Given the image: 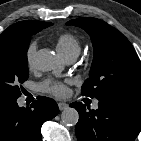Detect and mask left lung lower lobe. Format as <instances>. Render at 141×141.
Returning a JSON list of instances; mask_svg holds the SVG:
<instances>
[{
	"label": "left lung lower lobe",
	"mask_w": 141,
	"mask_h": 141,
	"mask_svg": "<svg viewBox=\"0 0 141 141\" xmlns=\"http://www.w3.org/2000/svg\"><path fill=\"white\" fill-rule=\"evenodd\" d=\"M99 100L97 110L81 102L70 104L79 113L78 141H134L141 130V102L117 97Z\"/></svg>",
	"instance_id": "1"
}]
</instances>
